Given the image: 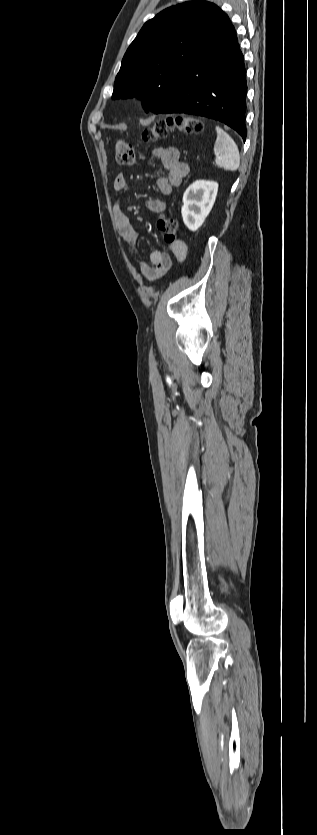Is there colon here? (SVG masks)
Here are the masks:
<instances>
[{"mask_svg":"<svg viewBox=\"0 0 317 835\" xmlns=\"http://www.w3.org/2000/svg\"><path fill=\"white\" fill-rule=\"evenodd\" d=\"M175 128L188 134H197L202 130L201 123L198 120L192 117H178L157 121L143 131L142 139L144 142L153 143L167 137ZM115 150L116 159L120 164L133 166L140 160L139 152L123 139L116 141ZM157 228L166 242L172 244L177 241L178 224L174 217L168 214H160L157 219Z\"/></svg>","mask_w":317,"mask_h":835,"instance_id":"1","label":"colon"}]
</instances>
